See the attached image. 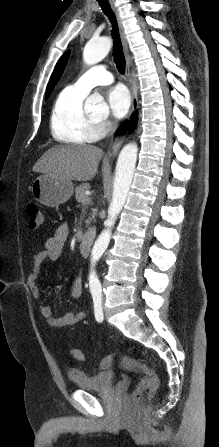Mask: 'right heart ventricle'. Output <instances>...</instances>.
<instances>
[{"instance_id": "obj_1", "label": "right heart ventricle", "mask_w": 219, "mask_h": 447, "mask_svg": "<svg viewBox=\"0 0 219 447\" xmlns=\"http://www.w3.org/2000/svg\"><path fill=\"white\" fill-rule=\"evenodd\" d=\"M86 95L65 87L56 97L50 117L53 138L65 144H86L96 141L101 132L83 109Z\"/></svg>"}]
</instances>
